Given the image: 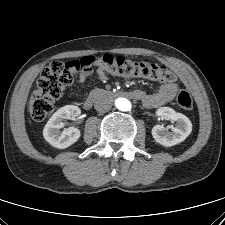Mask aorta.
<instances>
[{
	"mask_svg": "<svg viewBox=\"0 0 225 225\" xmlns=\"http://www.w3.org/2000/svg\"><path fill=\"white\" fill-rule=\"evenodd\" d=\"M115 105L121 111H129L131 109V102L126 98L116 99Z\"/></svg>",
	"mask_w": 225,
	"mask_h": 225,
	"instance_id": "1",
	"label": "aorta"
}]
</instances>
